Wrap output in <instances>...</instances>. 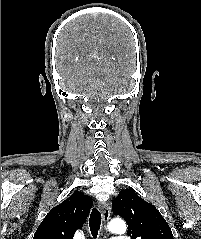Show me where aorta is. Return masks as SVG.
<instances>
[{
  "instance_id": "762f6f07",
  "label": "aorta",
  "mask_w": 201,
  "mask_h": 239,
  "mask_svg": "<svg viewBox=\"0 0 201 239\" xmlns=\"http://www.w3.org/2000/svg\"><path fill=\"white\" fill-rule=\"evenodd\" d=\"M107 229L111 233L124 234L126 232L127 226L124 220L120 218H115L110 221V223L107 226Z\"/></svg>"
}]
</instances>
